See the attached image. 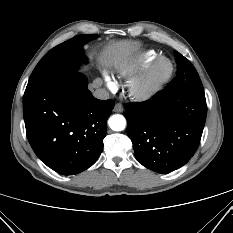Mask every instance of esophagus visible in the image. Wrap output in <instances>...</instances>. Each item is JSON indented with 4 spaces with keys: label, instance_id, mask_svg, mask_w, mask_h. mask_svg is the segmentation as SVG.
Instances as JSON below:
<instances>
[{
    "label": "esophagus",
    "instance_id": "obj_1",
    "mask_svg": "<svg viewBox=\"0 0 233 233\" xmlns=\"http://www.w3.org/2000/svg\"><path fill=\"white\" fill-rule=\"evenodd\" d=\"M123 110H124V107L121 103L115 104L114 112L120 113V112H123Z\"/></svg>",
    "mask_w": 233,
    "mask_h": 233
}]
</instances>
